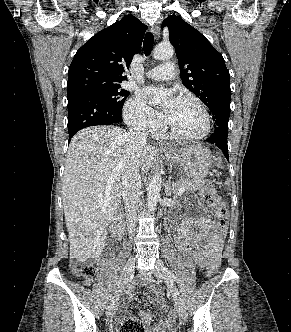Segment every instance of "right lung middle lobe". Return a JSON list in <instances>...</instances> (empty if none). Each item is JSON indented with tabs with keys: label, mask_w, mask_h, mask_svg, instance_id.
<instances>
[{
	"label": "right lung middle lobe",
	"mask_w": 291,
	"mask_h": 332,
	"mask_svg": "<svg viewBox=\"0 0 291 332\" xmlns=\"http://www.w3.org/2000/svg\"><path fill=\"white\" fill-rule=\"evenodd\" d=\"M84 93H88L103 99L114 108L119 110V112H122L123 104L129 95V92L122 89L121 85L98 87L90 89Z\"/></svg>",
	"instance_id": "dd1d6c3e"
}]
</instances>
